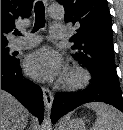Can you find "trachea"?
I'll use <instances>...</instances> for the list:
<instances>
[{
	"mask_svg": "<svg viewBox=\"0 0 123 130\" xmlns=\"http://www.w3.org/2000/svg\"><path fill=\"white\" fill-rule=\"evenodd\" d=\"M35 24L33 32L38 31L40 28H43L45 25V8L42 1H37L35 4ZM15 35H21L20 32L16 31Z\"/></svg>",
	"mask_w": 123,
	"mask_h": 130,
	"instance_id": "trachea-1",
	"label": "trachea"
}]
</instances>
